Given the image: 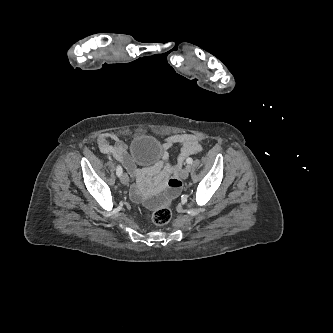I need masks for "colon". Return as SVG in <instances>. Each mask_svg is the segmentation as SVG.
I'll return each instance as SVG.
<instances>
[{
	"instance_id": "obj_1",
	"label": "colon",
	"mask_w": 333,
	"mask_h": 333,
	"mask_svg": "<svg viewBox=\"0 0 333 333\" xmlns=\"http://www.w3.org/2000/svg\"><path fill=\"white\" fill-rule=\"evenodd\" d=\"M148 219H150L154 224L164 225L167 224L172 217L171 209L168 206V203L165 205L156 208L152 212L147 214Z\"/></svg>"
}]
</instances>
